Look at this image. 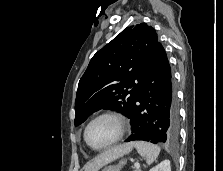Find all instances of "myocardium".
<instances>
[{
	"label": "myocardium",
	"mask_w": 223,
	"mask_h": 171,
	"mask_svg": "<svg viewBox=\"0 0 223 171\" xmlns=\"http://www.w3.org/2000/svg\"><path fill=\"white\" fill-rule=\"evenodd\" d=\"M104 117H109V118L114 119L118 124L119 132H118V135L116 136V138L113 141H111L110 143H108L107 145L102 146V147H94L88 141L87 132H88L90 125L93 122H95L96 120H98L100 118H104ZM127 129H128V122H127V119L122 114H120L118 112H114V111H105V112L97 114L87 123V125L85 126V129H84L83 137H84L86 144L91 149H93L95 151H101V150H105V149L115 145L117 142H119L125 135Z\"/></svg>",
	"instance_id": "f54148a6"
}]
</instances>
